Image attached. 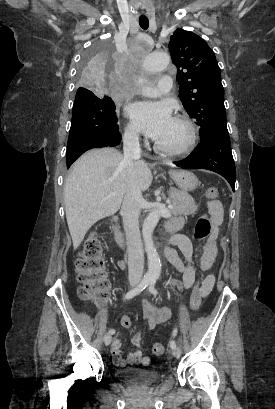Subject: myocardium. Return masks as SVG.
<instances>
[{
    "instance_id": "obj_1",
    "label": "myocardium",
    "mask_w": 275,
    "mask_h": 409,
    "mask_svg": "<svg viewBox=\"0 0 275 409\" xmlns=\"http://www.w3.org/2000/svg\"><path fill=\"white\" fill-rule=\"evenodd\" d=\"M173 120L185 127L186 137L178 146L174 147L164 146L152 140L154 149L159 153L166 155H179L189 150L195 143L196 129L194 123L188 117L183 115H176L173 117Z\"/></svg>"
}]
</instances>
